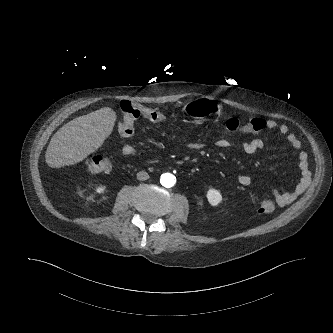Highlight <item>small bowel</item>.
<instances>
[{"mask_svg":"<svg viewBox=\"0 0 333 333\" xmlns=\"http://www.w3.org/2000/svg\"><path fill=\"white\" fill-rule=\"evenodd\" d=\"M143 108V107H142ZM266 127L269 130L278 131L289 145L298 152V165L301 171V179L296 187L290 191H279L273 189L272 196L280 207H284L293 202L302 192L308 179V156L304 151H300L302 147L301 141L292 133L286 124H280L275 120H268ZM214 145L218 148H237L244 154H254L264 148V140L255 138L246 141H233L230 139H219ZM205 146L202 142H188L183 145L187 150H199ZM120 153L124 157H134L138 153V146L134 142H124L120 146ZM237 182L242 186H249L252 183V178L247 174H240L236 178Z\"/></svg>","mask_w":333,"mask_h":333,"instance_id":"c3829d8e","label":"small bowel"}]
</instances>
